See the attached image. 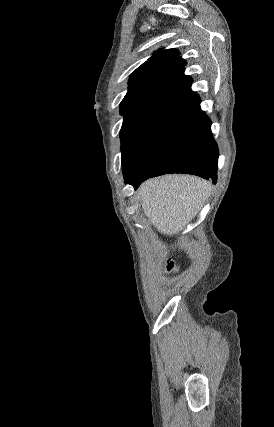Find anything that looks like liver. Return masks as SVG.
Returning <instances> with one entry per match:
<instances>
[{
  "mask_svg": "<svg viewBox=\"0 0 274 427\" xmlns=\"http://www.w3.org/2000/svg\"><path fill=\"white\" fill-rule=\"evenodd\" d=\"M209 182L196 176H162L140 186L139 200L149 221L161 233L173 235L198 214L209 194Z\"/></svg>",
  "mask_w": 274,
  "mask_h": 427,
  "instance_id": "liver-1",
  "label": "liver"
}]
</instances>
